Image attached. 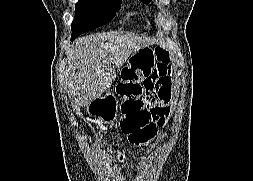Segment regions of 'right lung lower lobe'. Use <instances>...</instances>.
<instances>
[{
    "label": "right lung lower lobe",
    "mask_w": 253,
    "mask_h": 181,
    "mask_svg": "<svg viewBox=\"0 0 253 181\" xmlns=\"http://www.w3.org/2000/svg\"><path fill=\"white\" fill-rule=\"evenodd\" d=\"M75 39L74 37H71V40Z\"/></svg>",
    "instance_id": "1"
}]
</instances>
